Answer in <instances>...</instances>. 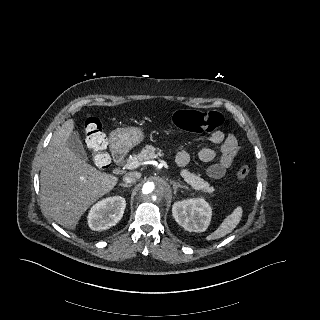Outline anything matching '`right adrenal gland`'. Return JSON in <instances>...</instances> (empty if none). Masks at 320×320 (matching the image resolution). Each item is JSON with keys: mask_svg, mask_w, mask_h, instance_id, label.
Listing matches in <instances>:
<instances>
[{"mask_svg": "<svg viewBox=\"0 0 320 320\" xmlns=\"http://www.w3.org/2000/svg\"><path fill=\"white\" fill-rule=\"evenodd\" d=\"M120 186L129 188V187H131L132 185H131V184H126V183H121Z\"/></svg>", "mask_w": 320, "mask_h": 320, "instance_id": "obj_1", "label": "right adrenal gland"}]
</instances>
